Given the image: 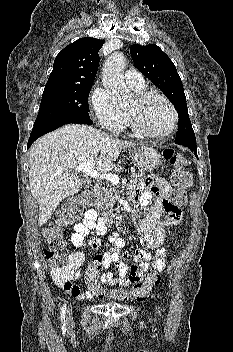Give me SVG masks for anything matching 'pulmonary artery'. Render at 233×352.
Returning a JSON list of instances; mask_svg holds the SVG:
<instances>
[{"label":"pulmonary artery","mask_w":233,"mask_h":352,"mask_svg":"<svg viewBox=\"0 0 233 352\" xmlns=\"http://www.w3.org/2000/svg\"><path fill=\"white\" fill-rule=\"evenodd\" d=\"M124 79L126 84L134 90H143L145 88L144 78L137 70H127L124 74Z\"/></svg>","instance_id":"e3ab8cb5"}]
</instances>
